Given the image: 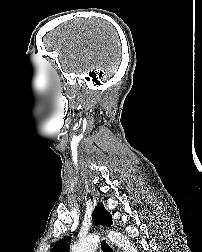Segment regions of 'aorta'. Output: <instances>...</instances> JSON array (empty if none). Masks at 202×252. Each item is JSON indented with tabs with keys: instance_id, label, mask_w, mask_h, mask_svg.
I'll use <instances>...</instances> for the list:
<instances>
[{
	"instance_id": "obj_1",
	"label": "aorta",
	"mask_w": 202,
	"mask_h": 252,
	"mask_svg": "<svg viewBox=\"0 0 202 252\" xmlns=\"http://www.w3.org/2000/svg\"><path fill=\"white\" fill-rule=\"evenodd\" d=\"M109 237L114 243L122 247L125 252H137L136 248L132 245V242L121 233L111 231ZM98 240L99 237L97 235H91L74 244L71 252H95Z\"/></svg>"
}]
</instances>
